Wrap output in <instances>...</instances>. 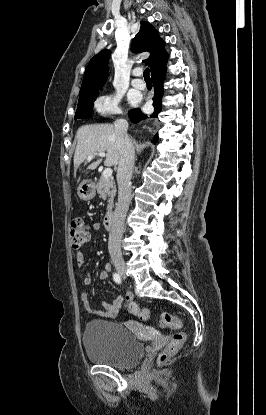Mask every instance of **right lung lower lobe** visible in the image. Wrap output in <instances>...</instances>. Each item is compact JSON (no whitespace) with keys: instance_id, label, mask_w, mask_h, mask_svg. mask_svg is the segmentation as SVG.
Instances as JSON below:
<instances>
[{"instance_id":"obj_1","label":"right lung lower lobe","mask_w":266,"mask_h":415,"mask_svg":"<svg viewBox=\"0 0 266 415\" xmlns=\"http://www.w3.org/2000/svg\"><path fill=\"white\" fill-rule=\"evenodd\" d=\"M165 70L166 68L164 67L162 70L152 75V82L155 88V93L153 97V100H154L153 106L155 108L154 113L148 117L147 115L143 114L140 109H133L128 113L129 118L133 123H138L142 120H146L147 118H157L158 114L161 112V108H162L161 101H162L163 92H164L163 83H164ZM157 140H158V135L156 134L153 142Z\"/></svg>"}]
</instances>
